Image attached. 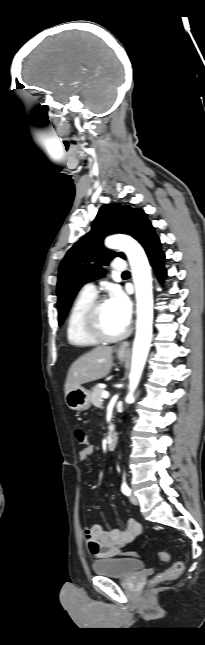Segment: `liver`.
I'll use <instances>...</instances> for the list:
<instances>
[{
    "instance_id": "6515ba94",
    "label": "liver",
    "mask_w": 205,
    "mask_h": 645,
    "mask_svg": "<svg viewBox=\"0 0 205 645\" xmlns=\"http://www.w3.org/2000/svg\"><path fill=\"white\" fill-rule=\"evenodd\" d=\"M112 353V347L98 346L79 357L68 371L65 394L82 384L106 377L112 368Z\"/></svg>"
}]
</instances>
